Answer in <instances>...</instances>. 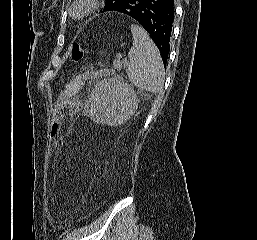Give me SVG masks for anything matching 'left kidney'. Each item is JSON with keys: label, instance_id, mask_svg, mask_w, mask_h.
<instances>
[{"label": "left kidney", "instance_id": "1", "mask_svg": "<svg viewBox=\"0 0 257 240\" xmlns=\"http://www.w3.org/2000/svg\"><path fill=\"white\" fill-rule=\"evenodd\" d=\"M138 107L135 91L119 77L107 79L95 86L90 117L97 123L121 125Z\"/></svg>", "mask_w": 257, "mask_h": 240}]
</instances>
